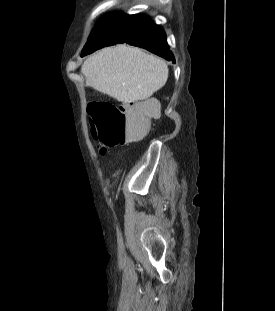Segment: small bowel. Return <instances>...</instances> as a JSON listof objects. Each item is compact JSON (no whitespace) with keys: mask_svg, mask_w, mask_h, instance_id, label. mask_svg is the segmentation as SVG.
<instances>
[{"mask_svg":"<svg viewBox=\"0 0 275 311\" xmlns=\"http://www.w3.org/2000/svg\"><path fill=\"white\" fill-rule=\"evenodd\" d=\"M122 174H125V171H122Z\"/></svg>","mask_w":275,"mask_h":311,"instance_id":"small-bowel-1","label":"small bowel"}]
</instances>
